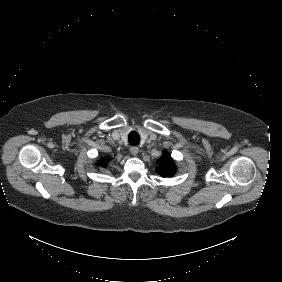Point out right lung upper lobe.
<instances>
[{
    "instance_id": "1",
    "label": "right lung upper lobe",
    "mask_w": 282,
    "mask_h": 282,
    "mask_svg": "<svg viewBox=\"0 0 282 282\" xmlns=\"http://www.w3.org/2000/svg\"><path fill=\"white\" fill-rule=\"evenodd\" d=\"M98 164H99L101 167H106V165H107V160L100 159V160H98Z\"/></svg>"
}]
</instances>
